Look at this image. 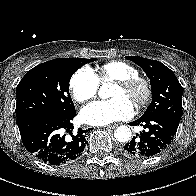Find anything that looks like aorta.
<instances>
[{
    "label": "aorta",
    "mask_w": 196,
    "mask_h": 196,
    "mask_svg": "<svg viewBox=\"0 0 196 196\" xmlns=\"http://www.w3.org/2000/svg\"><path fill=\"white\" fill-rule=\"evenodd\" d=\"M111 84L107 83V82H103L99 91H98V95L102 98V99H107L109 97H111V93H110V88ZM131 130L129 127L127 126H119L114 133V137L117 141L119 142H127L131 139Z\"/></svg>",
    "instance_id": "762f6f07"
}]
</instances>
